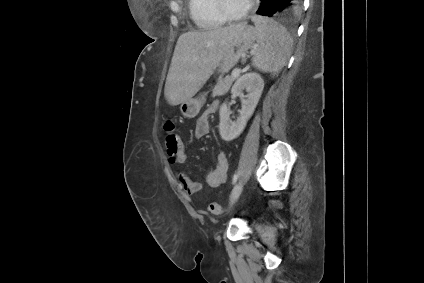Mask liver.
Wrapping results in <instances>:
<instances>
[{
	"label": "liver",
	"instance_id": "obj_1",
	"mask_svg": "<svg viewBox=\"0 0 424 283\" xmlns=\"http://www.w3.org/2000/svg\"><path fill=\"white\" fill-rule=\"evenodd\" d=\"M246 23L188 31L178 38L164 95L170 105L193 97L210 78L233 39Z\"/></svg>",
	"mask_w": 424,
	"mask_h": 283
}]
</instances>
